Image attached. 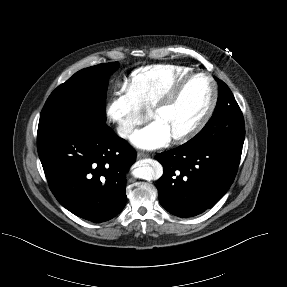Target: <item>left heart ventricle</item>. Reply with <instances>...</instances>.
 <instances>
[{
  "label": "left heart ventricle",
  "instance_id": "obj_1",
  "mask_svg": "<svg viewBox=\"0 0 287 287\" xmlns=\"http://www.w3.org/2000/svg\"><path fill=\"white\" fill-rule=\"evenodd\" d=\"M211 99V85L205 77L190 80L174 103L154 116L162 122L171 135L191 127L204 113Z\"/></svg>",
  "mask_w": 287,
  "mask_h": 287
}]
</instances>
